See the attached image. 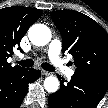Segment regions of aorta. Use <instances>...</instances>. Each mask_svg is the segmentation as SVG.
Wrapping results in <instances>:
<instances>
[{
    "label": "aorta",
    "instance_id": "obj_1",
    "mask_svg": "<svg viewBox=\"0 0 108 108\" xmlns=\"http://www.w3.org/2000/svg\"><path fill=\"white\" fill-rule=\"evenodd\" d=\"M28 37L32 44L44 46L51 40V31L44 24H34L28 30ZM60 82L57 77L49 76L44 80V88L49 93H54L59 89Z\"/></svg>",
    "mask_w": 108,
    "mask_h": 108
}]
</instances>
